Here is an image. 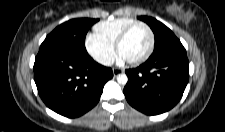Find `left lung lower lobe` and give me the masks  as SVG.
<instances>
[{
  "label": "left lung lower lobe",
  "mask_w": 225,
  "mask_h": 132,
  "mask_svg": "<svg viewBox=\"0 0 225 132\" xmlns=\"http://www.w3.org/2000/svg\"><path fill=\"white\" fill-rule=\"evenodd\" d=\"M125 72L128 83L124 94L128 103L144 114L157 115L181 99L189 79V61L184 48L175 49L150 57Z\"/></svg>",
  "instance_id": "0a47b994"
}]
</instances>
